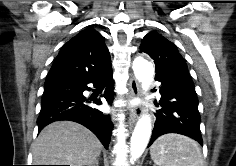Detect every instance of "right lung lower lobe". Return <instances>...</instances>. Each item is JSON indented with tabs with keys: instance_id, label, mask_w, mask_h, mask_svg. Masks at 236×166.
<instances>
[{
	"instance_id": "obj_1",
	"label": "right lung lower lobe",
	"mask_w": 236,
	"mask_h": 166,
	"mask_svg": "<svg viewBox=\"0 0 236 166\" xmlns=\"http://www.w3.org/2000/svg\"><path fill=\"white\" fill-rule=\"evenodd\" d=\"M90 83L105 87L103 97L109 104L112 103L114 81L111 67L90 77H58L46 80L41 111L37 119L39 131L55 121H74L90 129L107 149L112 122L109 115L88 105L91 101L84 97L83 92L90 90L87 86ZM93 103L102 104L100 99H94Z\"/></svg>"
}]
</instances>
